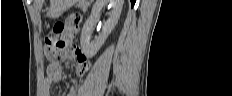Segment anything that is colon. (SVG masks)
Listing matches in <instances>:
<instances>
[{"label": "colon", "instance_id": "1", "mask_svg": "<svg viewBox=\"0 0 232 96\" xmlns=\"http://www.w3.org/2000/svg\"><path fill=\"white\" fill-rule=\"evenodd\" d=\"M67 22H69V20L65 23L57 22L46 37L45 54L47 58L53 62H58L60 60L62 51L66 46L64 31ZM51 70L52 72H57L59 66L57 64H52Z\"/></svg>", "mask_w": 232, "mask_h": 96}]
</instances>
